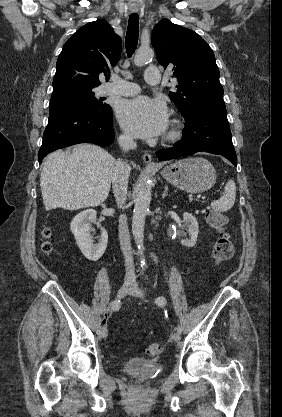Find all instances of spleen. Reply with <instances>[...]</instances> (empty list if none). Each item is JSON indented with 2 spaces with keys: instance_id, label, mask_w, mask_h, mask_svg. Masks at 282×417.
Masks as SVG:
<instances>
[{
  "instance_id": "spleen-1",
  "label": "spleen",
  "mask_w": 282,
  "mask_h": 417,
  "mask_svg": "<svg viewBox=\"0 0 282 417\" xmlns=\"http://www.w3.org/2000/svg\"><path fill=\"white\" fill-rule=\"evenodd\" d=\"M236 198V184L234 180H228L224 186V194L219 198V200H213L211 206L213 211L217 213H226L229 209H232V206Z\"/></svg>"
}]
</instances>
